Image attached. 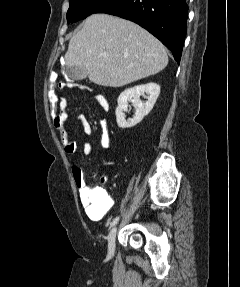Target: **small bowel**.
I'll return each instance as SVG.
<instances>
[{"instance_id": "c3829d8e", "label": "small bowel", "mask_w": 240, "mask_h": 287, "mask_svg": "<svg viewBox=\"0 0 240 287\" xmlns=\"http://www.w3.org/2000/svg\"><path fill=\"white\" fill-rule=\"evenodd\" d=\"M94 99L104 111L109 110V102L103 95H96ZM78 119L83 127L84 132L87 135H92L93 128L87 118L84 115H80ZM100 126L102 129L100 142L101 148L107 149L109 147V131L105 119L100 121ZM56 129L60 132V140L63 145L64 152L67 155L75 154L77 145L69 138L65 122L59 126H56ZM82 150L85 156H90L93 152V147L90 143L85 142L82 146ZM101 181L104 183L105 179L102 178ZM80 198L87 216L93 221L102 220L108 211L112 208L114 203L112 197L100 189H90V191L82 189L80 191Z\"/></svg>"}]
</instances>
